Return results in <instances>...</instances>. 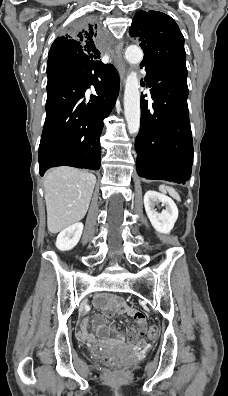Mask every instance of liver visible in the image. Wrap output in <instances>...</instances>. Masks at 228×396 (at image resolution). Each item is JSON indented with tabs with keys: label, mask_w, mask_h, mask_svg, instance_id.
Listing matches in <instances>:
<instances>
[{
	"label": "liver",
	"mask_w": 228,
	"mask_h": 396,
	"mask_svg": "<svg viewBox=\"0 0 228 396\" xmlns=\"http://www.w3.org/2000/svg\"><path fill=\"white\" fill-rule=\"evenodd\" d=\"M96 177L71 167H58L44 179L47 228L56 234L82 220L88 210Z\"/></svg>",
	"instance_id": "obj_1"
}]
</instances>
